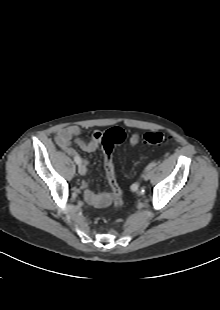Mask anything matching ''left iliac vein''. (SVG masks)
Segmentation results:
<instances>
[{"mask_svg": "<svg viewBox=\"0 0 220 310\" xmlns=\"http://www.w3.org/2000/svg\"><path fill=\"white\" fill-rule=\"evenodd\" d=\"M149 178H150V174H149V173H148V174H145V175L143 176V179H144L145 181H147Z\"/></svg>", "mask_w": 220, "mask_h": 310, "instance_id": "4c4485c4", "label": "left iliac vein"}]
</instances>
